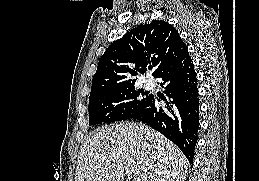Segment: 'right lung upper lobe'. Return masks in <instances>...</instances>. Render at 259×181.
<instances>
[{"label": "right lung upper lobe", "mask_w": 259, "mask_h": 181, "mask_svg": "<svg viewBox=\"0 0 259 181\" xmlns=\"http://www.w3.org/2000/svg\"><path fill=\"white\" fill-rule=\"evenodd\" d=\"M187 52L178 31L166 21L139 25L112 43L101 56L90 97L134 86L133 77L151 64L156 77Z\"/></svg>", "instance_id": "1"}]
</instances>
